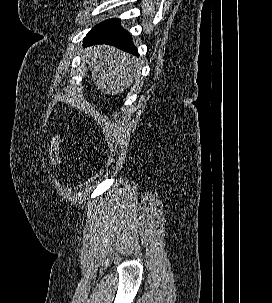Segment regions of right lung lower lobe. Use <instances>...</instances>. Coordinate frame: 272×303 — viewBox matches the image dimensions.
<instances>
[{
    "instance_id": "obj_1",
    "label": "right lung lower lobe",
    "mask_w": 272,
    "mask_h": 303,
    "mask_svg": "<svg viewBox=\"0 0 272 303\" xmlns=\"http://www.w3.org/2000/svg\"><path fill=\"white\" fill-rule=\"evenodd\" d=\"M95 44L113 45L123 51L138 55L130 34L120 26L119 21L89 32L84 46Z\"/></svg>"
}]
</instances>
